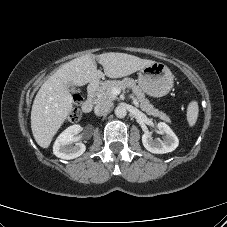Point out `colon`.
I'll return each instance as SVG.
<instances>
[{
	"mask_svg": "<svg viewBox=\"0 0 227 227\" xmlns=\"http://www.w3.org/2000/svg\"><path fill=\"white\" fill-rule=\"evenodd\" d=\"M82 98L79 95H76L74 97V106L69 114V120L70 121H76L80 117V104H81Z\"/></svg>",
	"mask_w": 227,
	"mask_h": 227,
	"instance_id": "5ec220e1",
	"label": "colon"
}]
</instances>
